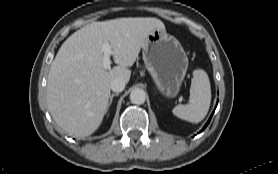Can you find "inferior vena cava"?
I'll use <instances>...</instances> for the list:
<instances>
[{"label":"inferior vena cava","mask_w":278,"mask_h":174,"mask_svg":"<svg viewBox=\"0 0 278 174\" xmlns=\"http://www.w3.org/2000/svg\"><path fill=\"white\" fill-rule=\"evenodd\" d=\"M110 88L114 92L117 93L122 92L125 88V82L120 78H116L111 81Z\"/></svg>","instance_id":"1"}]
</instances>
